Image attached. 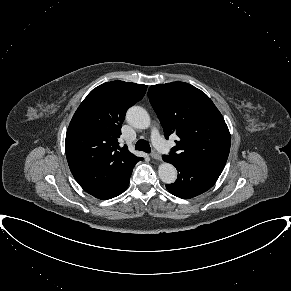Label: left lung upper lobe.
Returning <instances> with one entry per match:
<instances>
[{"mask_svg":"<svg viewBox=\"0 0 291 291\" xmlns=\"http://www.w3.org/2000/svg\"><path fill=\"white\" fill-rule=\"evenodd\" d=\"M148 97L165 137H179L170 156L182 162L224 168L230 133L223 116L204 92L184 82H172L152 85Z\"/></svg>","mask_w":291,"mask_h":291,"instance_id":"obj_1","label":"left lung upper lobe"}]
</instances>
